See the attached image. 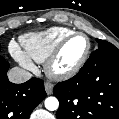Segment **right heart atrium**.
<instances>
[{
	"instance_id": "1",
	"label": "right heart atrium",
	"mask_w": 119,
	"mask_h": 119,
	"mask_svg": "<svg viewBox=\"0 0 119 119\" xmlns=\"http://www.w3.org/2000/svg\"><path fill=\"white\" fill-rule=\"evenodd\" d=\"M10 49L14 57L18 62L26 69L33 68V62L31 58L21 50V48L16 43H11Z\"/></svg>"
}]
</instances>
